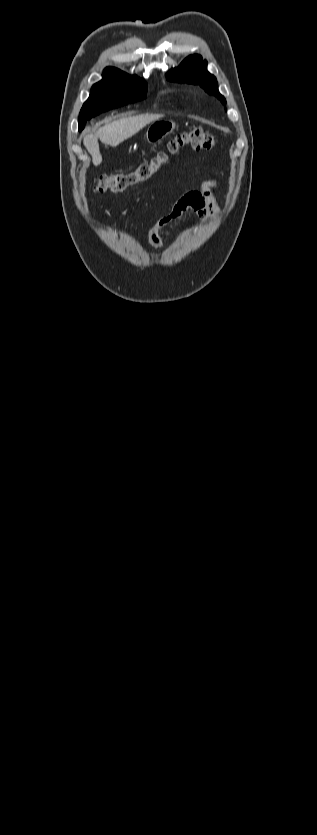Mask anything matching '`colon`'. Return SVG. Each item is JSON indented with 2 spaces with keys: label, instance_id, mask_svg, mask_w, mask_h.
<instances>
[{
  "label": "colon",
  "instance_id": "5ec220e1",
  "mask_svg": "<svg viewBox=\"0 0 317 835\" xmlns=\"http://www.w3.org/2000/svg\"><path fill=\"white\" fill-rule=\"evenodd\" d=\"M186 146L195 150H210L215 147V140L200 127L178 133L168 142L166 151L156 153L150 160L143 162L133 171L96 177L94 191L97 193L121 192L127 187L150 177L167 162L170 156L178 154Z\"/></svg>",
  "mask_w": 317,
  "mask_h": 835
}]
</instances>
